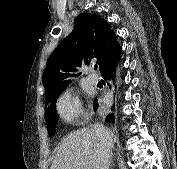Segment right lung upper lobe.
<instances>
[{
    "label": "right lung upper lobe",
    "instance_id": "right-lung-upper-lobe-1",
    "mask_svg": "<svg viewBox=\"0 0 177 169\" xmlns=\"http://www.w3.org/2000/svg\"><path fill=\"white\" fill-rule=\"evenodd\" d=\"M77 26L54 50L43 73L45 102L57 100L82 64L96 60L102 72L115 64L121 46L108 22L100 16L81 13Z\"/></svg>",
    "mask_w": 177,
    "mask_h": 169
}]
</instances>
